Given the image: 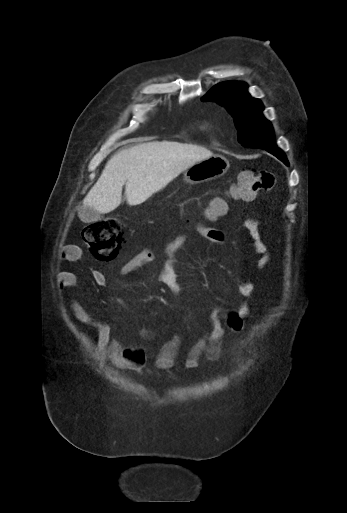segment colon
Segmentation results:
<instances>
[{"mask_svg":"<svg viewBox=\"0 0 347 513\" xmlns=\"http://www.w3.org/2000/svg\"><path fill=\"white\" fill-rule=\"evenodd\" d=\"M275 182L276 176L271 171L246 170L238 175L236 182L229 189V196L243 201H251L259 192L272 189ZM227 210V200L217 196L209 201L206 216L208 220H217L223 217ZM83 237L97 259L110 261L116 258L124 243L123 224L116 217L90 223L84 227Z\"/></svg>","mask_w":347,"mask_h":513,"instance_id":"5ec220e1","label":"colon"}]
</instances>
